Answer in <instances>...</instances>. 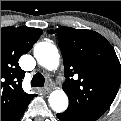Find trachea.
<instances>
[{"mask_svg":"<svg viewBox=\"0 0 121 121\" xmlns=\"http://www.w3.org/2000/svg\"><path fill=\"white\" fill-rule=\"evenodd\" d=\"M45 79L41 73H37L33 76L31 80V86L33 87H43Z\"/></svg>","mask_w":121,"mask_h":121,"instance_id":"3493384b","label":"trachea"}]
</instances>
